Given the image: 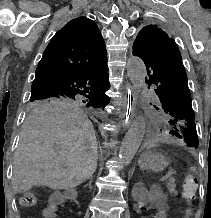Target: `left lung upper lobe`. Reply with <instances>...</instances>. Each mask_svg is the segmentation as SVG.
Listing matches in <instances>:
<instances>
[{
    "instance_id": "left-lung-upper-lobe-1",
    "label": "left lung upper lobe",
    "mask_w": 211,
    "mask_h": 218,
    "mask_svg": "<svg viewBox=\"0 0 211 218\" xmlns=\"http://www.w3.org/2000/svg\"><path fill=\"white\" fill-rule=\"evenodd\" d=\"M133 55L146 65L145 82L157 95L154 111L166 134L197 148L198 136L187 75L175 41L154 25L142 28Z\"/></svg>"
}]
</instances>
